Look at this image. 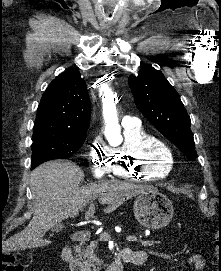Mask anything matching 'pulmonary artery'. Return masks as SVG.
<instances>
[{"label":"pulmonary artery","mask_w":221,"mask_h":271,"mask_svg":"<svg viewBox=\"0 0 221 271\" xmlns=\"http://www.w3.org/2000/svg\"><path fill=\"white\" fill-rule=\"evenodd\" d=\"M120 127H142V122H136V117H125V122H120ZM127 133H122V138H138L139 128H127Z\"/></svg>","instance_id":"e3ab8cb5"}]
</instances>
